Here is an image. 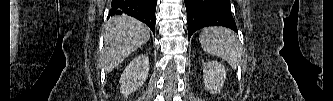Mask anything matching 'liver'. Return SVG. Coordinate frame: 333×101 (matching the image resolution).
Masks as SVG:
<instances>
[{
  "instance_id": "1",
  "label": "liver",
  "mask_w": 333,
  "mask_h": 101,
  "mask_svg": "<svg viewBox=\"0 0 333 101\" xmlns=\"http://www.w3.org/2000/svg\"><path fill=\"white\" fill-rule=\"evenodd\" d=\"M149 39V28L137 19L124 15L110 18L106 25L101 54V64L106 73L111 72Z\"/></svg>"
}]
</instances>
